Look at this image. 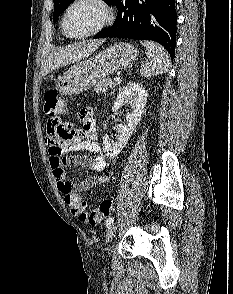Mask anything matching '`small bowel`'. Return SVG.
Masks as SVG:
<instances>
[{"label": "small bowel", "instance_id": "1", "mask_svg": "<svg viewBox=\"0 0 233 294\" xmlns=\"http://www.w3.org/2000/svg\"><path fill=\"white\" fill-rule=\"evenodd\" d=\"M69 113H73V108L55 110L52 117H48L46 143L49 148V161L61 193H85L108 180V176L102 174L106 167V160L97 142L93 110L83 108L79 111L78 122L80 126L78 128L75 123L66 120ZM81 151L93 153L94 156L66 155L70 152ZM71 166H82L98 175L88 176L80 181H70L66 178V169Z\"/></svg>", "mask_w": 233, "mask_h": 294}]
</instances>
